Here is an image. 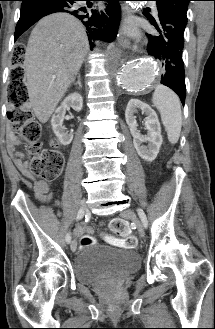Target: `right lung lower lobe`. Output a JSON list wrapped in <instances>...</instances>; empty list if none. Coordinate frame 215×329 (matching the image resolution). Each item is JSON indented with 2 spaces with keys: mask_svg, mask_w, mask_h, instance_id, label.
<instances>
[{
  "mask_svg": "<svg viewBox=\"0 0 215 329\" xmlns=\"http://www.w3.org/2000/svg\"><path fill=\"white\" fill-rule=\"evenodd\" d=\"M20 18L16 26L15 38L24 33L42 17L67 12L78 18L86 27L91 47L92 41L103 40L112 42L116 35L121 18L120 0H21ZM86 1L87 6L81 4ZM91 1H107L105 11L91 9Z\"/></svg>",
  "mask_w": 215,
  "mask_h": 329,
  "instance_id": "1",
  "label": "right lung lower lobe"
}]
</instances>
